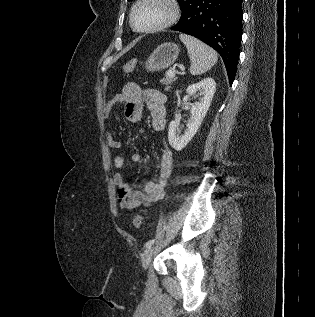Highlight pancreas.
I'll use <instances>...</instances> for the list:
<instances>
[{"instance_id":"cf45deb5","label":"pancreas","mask_w":315,"mask_h":317,"mask_svg":"<svg viewBox=\"0 0 315 317\" xmlns=\"http://www.w3.org/2000/svg\"><path fill=\"white\" fill-rule=\"evenodd\" d=\"M176 80L175 77H171L169 73L165 74V77L161 80V83L165 84V91H168L170 88V85Z\"/></svg>"}]
</instances>
